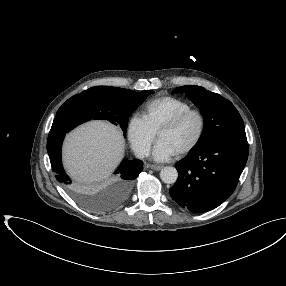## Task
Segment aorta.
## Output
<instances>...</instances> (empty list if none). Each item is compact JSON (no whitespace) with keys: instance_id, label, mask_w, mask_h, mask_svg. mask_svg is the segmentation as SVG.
Returning <instances> with one entry per match:
<instances>
[{"instance_id":"obj_1","label":"aorta","mask_w":286,"mask_h":286,"mask_svg":"<svg viewBox=\"0 0 286 286\" xmlns=\"http://www.w3.org/2000/svg\"><path fill=\"white\" fill-rule=\"evenodd\" d=\"M178 177V172L176 168L167 166L164 167L160 172V178L164 183L173 184L176 182Z\"/></svg>"}]
</instances>
